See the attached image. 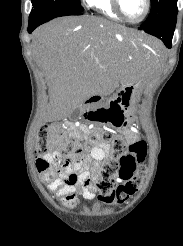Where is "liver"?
Here are the masks:
<instances>
[{
	"label": "liver",
	"instance_id": "1",
	"mask_svg": "<svg viewBox=\"0 0 183 246\" xmlns=\"http://www.w3.org/2000/svg\"><path fill=\"white\" fill-rule=\"evenodd\" d=\"M135 39L154 51L161 48L133 29L89 15L59 18L34 31L33 56L59 117L94 95H109L119 83H134L150 72L154 55L133 43Z\"/></svg>",
	"mask_w": 183,
	"mask_h": 246
}]
</instances>
